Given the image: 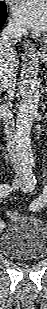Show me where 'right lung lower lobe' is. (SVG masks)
Wrapping results in <instances>:
<instances>
[{
	"label": "right lung lower lobe",
	"instance_id": "right-lung-lower-lobe-1",
	"mask_svg": "<svg viewBox=\"0 0 47 309\" xmlns=\"http://www.w3.org/2000/svg\"><path fill=\"white\" fill-rule=\"evenodd\" d=\"M7 18L6 8L0 11V28L3 26L5 20Z\"/></svg>",
	"mask_w": 47,
	"mask_h": 309
}]
</instances>
